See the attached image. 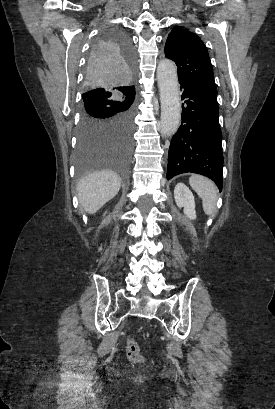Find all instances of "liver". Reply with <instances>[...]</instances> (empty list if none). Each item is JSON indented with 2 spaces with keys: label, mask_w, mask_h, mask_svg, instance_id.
<instances>
[{
  "label": "liver",
  "mask_w": 275,
  "mask_h": 409,
  "mask_svg": "<svg viewBox=\"0 0 275 409\" xmlns=\"http://www.w3.org/2000/svg\"><path fill=\"white\" fill-rule=\"evenodd\" d=\"M121 178L113 170H96L80 178L76 188L82 209L97 213L120 190Z\"/></svg>",
  "instance_id": "6515ba94"
}]
</instances>
